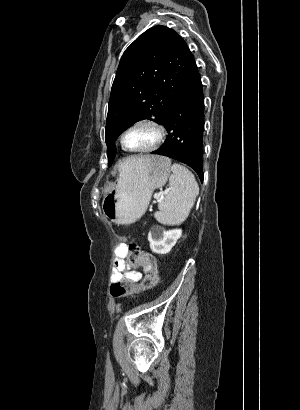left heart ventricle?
<instances>
[{"mask_svg":"<svg viewBox=\"0 0 300 410\" xmlns=\"http://www.w3.org/2000/svg\"><path fill=\"white\" fill-rule=\"evenodd\" d=\"M157 139L156 131L150 126H138L130 130L124 138L129 148H144L152 145Z\"/></svg>","mask_w":300,"mask_h":410,"instance_id":"left-heart-ventricle-1","label":"left heart ventricle"}]
</instances>
